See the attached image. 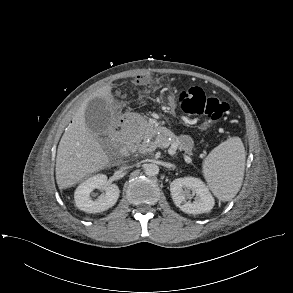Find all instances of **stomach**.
Here are the masks:
<instances>
[{
    "label": "stomach",
    "mask_w": 293,
    "mask_h": 293,
    "mask_svg": "<svg viewBox=\"0 0 293 293\" xmlns=\"http://www.w3.org/2000/svg\"><path fill=\"white\" fill-rule=\"evenodd\" d=\"M168 105L170 106V109L173 111L176 106L175 98L173 96L168 97Z\"/></svg>",
    "instance_id": "0dacf381"
}]
</instances>
